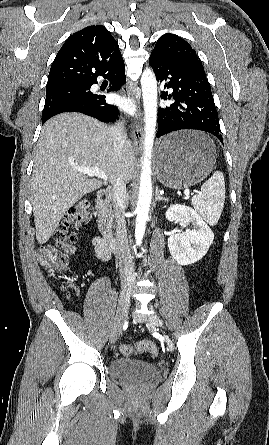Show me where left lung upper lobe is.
I'll list each match as a JSON object with an SVG mask.
<instances>
[{
	"mask_svg": "<svg viewBox=\"0 0 269 445\" xmlns=\"http://www.w3.org/2000/svg\"><path fill=\"white\" fill-rule=\"evenodd\" d=\"M151 56L172 62H200L196 52L184 39L170 33L157 40Z\"/></svg>",
	"mask_w": 269,
	"mask_h": 445,
	"instance_id": "1",
	"label": "left lung upper lobe"
}]
</instances>
